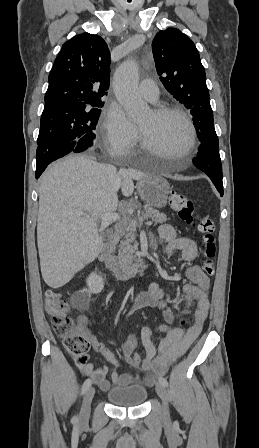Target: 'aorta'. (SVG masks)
Here are the masks:
<instances>
[{
    "label": "aorta",
    "mask_w": 259,
    "mask_h": 448,
    "mask_svg": "<svg viewBox=\"0 0 259 448\" xmlns=\"http://www.w3.org/2000/svg\"><path fill=\"white\" fill-rule=\"evenodd\" d=\"M138 80V65L133 60L122 63L113 79L116 99L133 121L140 119L147 110V105L138 92Z\"/></svg>",
    "instance_id": "762f6f07"
}]
</instances>
